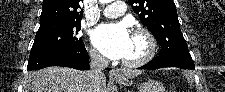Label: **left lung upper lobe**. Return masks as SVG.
<instances>
[{
	"mask_svg": "<svg viewBox=\"0 0 225 92\" xmlns=\"http://www.w3.org/2000/svg\"><path fill=\"white\" fill-rule=\"evenodd\" d=\"M161 46L159 57L190 56L173 0H129Z\"/></svg>",
	"mask_w": 225,
	"mask_h": 92,
	"instance_id": "5c2ea615",
	"label": "left lung upper lobe"
}]
</instances>
